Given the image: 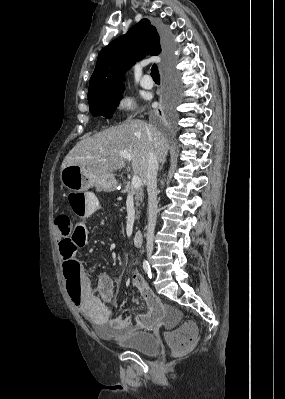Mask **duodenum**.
<instances>
[{
    "mask_svg": "<svg viewBox=\"0 0 285 399\" xmlns=\"http://www.w3.org/2000/svg\"><path fill=\"white\" fill-rule=\"evenodd\" d=\"M144 237H145V231L144 230H141V229L136 230L134 232V235H133L134 244L135 245H140L143 242Z\"/></svg>",
    "mask_w": 285,
    "mask_h": 399,
    "instance_id": "obj_1",
    "label": "duodenum"
}]
</instances>
